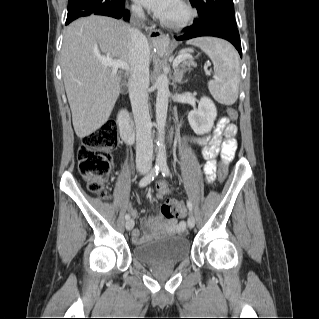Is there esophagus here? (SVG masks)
<instances>
[{"label": "esophagus", "mask_w": 319, "mask_h": 319, "mask_svg": "<svg viewBox=\"0 0 319 319\" xmlns=\"http://www.w3.org/2000/svg\"><path fill=\"white\" fill-rule=\"evenodd\" d=\"M144 26V24H142ZM149 38L153 41H158L162 38H164V34L161 30L156 29V28H151L149 30Z\"/></svg>", "instance_id": "obj_1"}]
</instances>
